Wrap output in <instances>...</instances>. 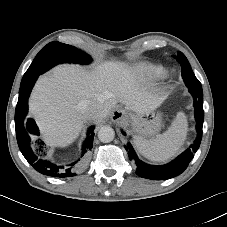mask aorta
Instances as JSON below:
<instances>
[{"mask_svg": "<svg viewBox=\"0 0 227 227\" xmlns=\"http://www.w3.org/2000/svg\"><path fill=\"white\" fill-rule=\"evenodd\" d=\"M115 137V131L110 126H103L98 131V139L103 143H109L113 141Z\"/></svg>", "mask_w": 227, "mask_h": 227, "instance_id": "aorta-1", "label": "aorta"}]
</instances>
